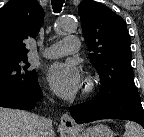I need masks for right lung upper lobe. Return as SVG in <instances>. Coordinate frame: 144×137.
Wrapping results in <instances>:
<instances>
[{"instance_id": "obj_1", "label": "right lung upper lobe", "mask_w": 144, "mask_h": 137, "mask_svg": "<svg viewBox=\"0 0 144 137\" xmlns=\"http://www.w3.org/2000/svg\"><path fill=\"white\" fill-rule=\"evenodd\" d=\"M43 18L37 0H10L0 9V65L27 57L25 41L37 36Z\"/></svg>"}]
</instances>
